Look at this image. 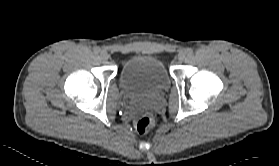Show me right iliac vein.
Here are the masks:
<instances>
[{"label":"right iliac vein","mask_w":279,"mask_h":166,"mask_svg":"<svg viewBox=\"0 0 279 166\" xmlns=\"http://www.w3.org/2000/svg\"><path fill=\"white\" fill-rule=\"evenodd\" d=\"M100 57L103 60H107L109 58V55L106 51L103 50V51L100 52Z\"/></svg>","instance_id":"63e3f726"}]
</instances>
